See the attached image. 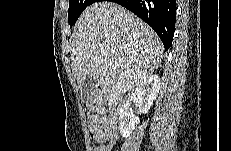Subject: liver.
<instances>
[{"label":"liver","instance_id":"obj_1","mask_svg":"<svg viewBox=\"0 0 231 151\" xmlns=\"http://www.w3.org/2000/svg\"><path fill=\"white\" fill-rule=\"evenodd\" d=\"M162 54L152 28L114 2L89 6L72 34L71 66L81 89L91 76L116 94L131 90L153 74Z\"/></svg>","mask_w":231,"mask_h":151}]
</instances>
